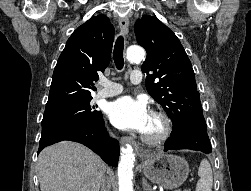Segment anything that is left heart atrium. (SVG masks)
I'll list each match as a JSON object with an SVG mask.
<instances>
[{
  "mask_svg": "<svg viewBox=\"0 0 251 191\" xmlns=\"http://www.w3.org/2000/svg\"><path fill=\"white\" fill-rule=\"evenodd\" d=\"M106 114L114 126L126 131L143 132L150 120L147 105L130 97H121L109 103Z\"/></svg>",
  "mask_w": 251,
  "mask_h": 191,
  "instance_id": "left-heart-atrium-1",
  "label": "left heart atrium"
}]
</instances>
